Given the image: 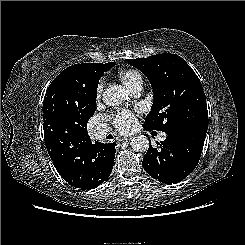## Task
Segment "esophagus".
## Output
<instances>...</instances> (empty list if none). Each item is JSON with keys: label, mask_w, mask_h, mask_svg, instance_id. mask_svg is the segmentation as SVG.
I'll use <instances>...</instances> for the list:
<instances>
[{"label": "esophagus", "mask_w": 245, "mask_h": 245, "mask_svg": "<svg viewBox=\"0 0 245 245\" xmlns=\"http://www.w3.org/2000/svg\"><path fill=\"white\" fill-rule=\"evenodd\" d=\"M131 139H132V137H128V138H125L124 141H125V142H128V141H130Z\"/></svg>", "instance_id": "obj_1"}]
</instances>
